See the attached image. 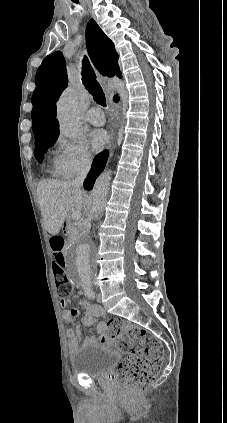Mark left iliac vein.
Here are the masks:
<instances>
[{"label":"left iliac vein","instance_id":"1","mask_svg":"<svg viewBox=\"0 0 227 423\" xmlns=\"http://www.w3.org/2000/svg\"><path fill=\"white\" fill-rule=\"evenodd\" d=\"M96 300H97L98 302H101V301H102V296H101V294H100V293H97V295H96Z\"/></svg>","mask_w":227,"mask_h":423}]
</instances>
